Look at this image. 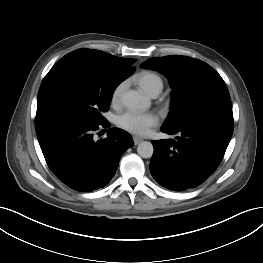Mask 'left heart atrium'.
I'll use <instances>...</instances> for the list:
<instances>
[{
    "mask_svg": "<svg viewBox=\"0 0 263 263\" xmlns=\"http://www.w3.org/2000/svg\"><path fill=\"white\" fill-rule=\"evenodd\" d=\"M157 123V116L150 112L126 111L116 118V124L120 128L138 135L148 134Z\"/></svg>",
    "mask_w": 263,
    "mask_h": 263,
    "instance_id": "left-heart-atrium-1",
    "label": "left heart atrium"
}]
</instances>
